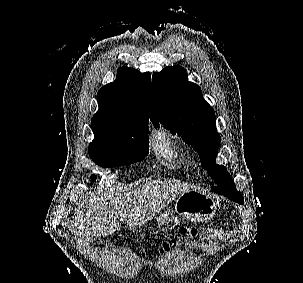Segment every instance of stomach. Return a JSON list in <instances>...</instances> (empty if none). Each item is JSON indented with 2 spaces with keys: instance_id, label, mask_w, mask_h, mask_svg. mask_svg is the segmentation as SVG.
Returning <instances> with one entry per match:
<instances>
[{
  "instance_id": "0dacf381",
  "label": "stomach",
  "mask_w": 303,
  "mask_h": 283,
  "mask_svg": "<svg viewBox=\"0 0 303 283\" xmlns=\"http://www.w3.org/2000/svg\"><path fill=\"white\" fill-rule=\"evenodd\" d=\"M217 205L213 198L198 192L187 191L177 197L174 208H164L154 217V225L158 227L168 224L176 214L191 221H207L211 219L216 212Z\"/></svg>"
}]
</instances>
